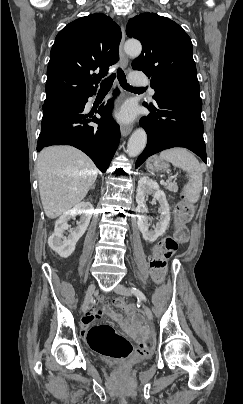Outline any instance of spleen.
<instances>
[{"mask_svg": "<svg viewBox=\"0 0 243 404\" xmlns=\"http://www.w3.org/2000/svg\"><path fill=\"white\" fill-rule=\"evenodd\" d=\"M159 160L171 162L176 168L188 172L189 182L184 188L185 198L190 204H196L202 190V170L197 158L187 152L186 148H172L161 152Z\"/></svg>", "mask_w": 243, "mask_h": 404, "instance_id": "obj_1", "label": "spleen"}]
</instances>
